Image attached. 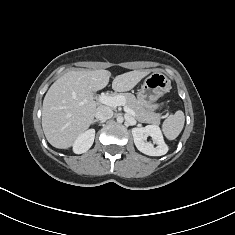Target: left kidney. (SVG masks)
<instances>
[{
  "mask_svg": "<svg viewBox=\"0 0 235 235\" xmlns=\"http://www.w3.org/2000/svg\"><path fill=\"white\" fill-rule=\"evenodd\" d=\"M132 135L137 149L149 156H162L168 152V147L164 142L163 135L157 125H147L145 127H135L132 129ZM150 136L153 143L146 141Z\"/></svg>",
  "mask_w": 235,
  "mask_h": 235,
  "instance_id": "1",
  "label": "left kidney"
}]
</instances>
